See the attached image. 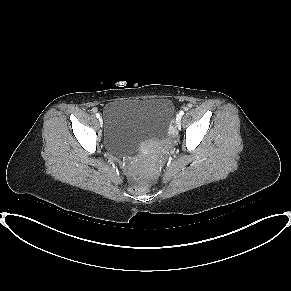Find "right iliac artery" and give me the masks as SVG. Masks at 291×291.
<instances>
[{
    "instance_id": "obj_1",
    "label": "right iliac artery",
    "mask_w": 291,
    "mask_h": 291,
    "mask_svg": "<svg viewBox=\"0 0 291 291\" xmlns=\"http://www.w3.org/2000/svg\"><path fill=\"white\" fill-rule=\"evenodd\" d=\"M96 117H97V118H99V117H100V114H99V113H97V114H96Z\"/></svg>"
}]
</instances>
